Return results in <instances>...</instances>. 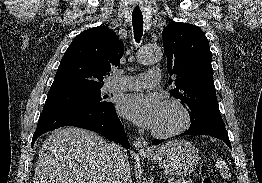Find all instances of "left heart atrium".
Here are the masks:
<instances>
[{
    "mask_svg": "<svg viewBox=\"0 0 262 183\" xmlns=\"http://www.w3.org/2000/svg\"><path fill=\"white\" fill-rule=\"evenodd\" d=\"M162 106L159 98L154 94L133 93L120 99L118 110L121 115L138 126L154 129Z\"/></svg>",
    "mask_w": 262,
    "mask_h": 183,
    "instance_id": "1",
    "label": "left heart atrium"
}]
</instances>
